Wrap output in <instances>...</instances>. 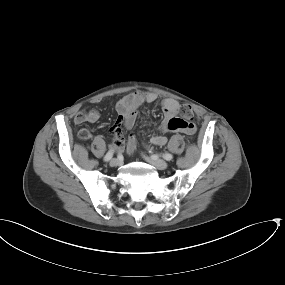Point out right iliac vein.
I'll list each match as a JSON object with an SVG mask.
<instances>
[{"mask_svg": "<svg viewBox=\"0 0 285 285\" xmlns=\"http://www.w3.org/2000/svg\"><path fill=\"white\" fill-rule=\"evenodd\" d=\"M120 163H121L120 160L117 159V158H114V159H112V160L110 161V165H111L112 167L119 166Z\"/></svg>", "mask_w": 285, "mask_h": 285, "instance_id": "obj_1", "label": "right iliac vein"}]
</instances>
